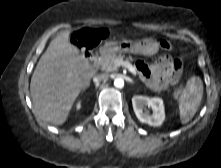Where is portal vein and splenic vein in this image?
Instances as JSON below:
<instances>
[{
	"label": "portal vein and splenic vein",
	"instance_id": "1",
	"mask_svg": "<svg viewBox=\"0 0 221 168\" xmlns=\"http://www.w3.org/2000/svg\"><path fill=\"white\" fill-rule=\"evenodd\" d=\"M115 66H123L125 68H127L134 76H136V70L135 68L131 65V63L127 62V61H122V60H117L115 62Z\"/></svg>",
	"mask_w": 221,
	"mask_h": 168
}]
</instances>
